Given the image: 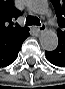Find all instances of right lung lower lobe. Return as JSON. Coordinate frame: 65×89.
<instances>
[{
	"mask_svg": "<svg viewBox=\"0 0 65 89\" xmlns=\"http://www.w3.org/2000/svg\"><path fill=\"white\" fill-rule=\"evenodd\" d=\"M27 35L9 42L0 43V67L10 65L18 56L23 41L29 36Z\"/></svg>",
	"mask_w": 65,
	"mask_h": 89,
	"instance_id": "98d812e1",
	"label": "right lung lower lobe"
}]
</instances>
